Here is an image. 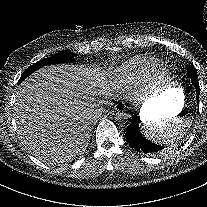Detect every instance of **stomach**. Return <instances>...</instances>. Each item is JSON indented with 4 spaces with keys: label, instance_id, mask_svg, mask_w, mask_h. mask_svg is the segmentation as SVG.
<instances>
[{
    "label": "stomach",
    "instance_id": "1",
    "mask_svg": "<svg viewBox=\"0 0 207 207\" xmlns=\"http://www.w3.org/2000/svg\"><path fill=\"white\" fill-rule=\"evenodd\" d=\"M184 105V93L179 82L173 80L160 94L146 100L141 109L142 122L156 123L178 115Z\"/></svg>",
    "mask_w": 207,
    "mask_h": 207
}]
</instances>
